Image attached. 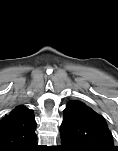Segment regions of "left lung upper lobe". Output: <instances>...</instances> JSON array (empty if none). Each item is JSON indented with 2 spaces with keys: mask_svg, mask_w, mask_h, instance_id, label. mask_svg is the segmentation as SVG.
Returning <instances> with one entry per match:
<instances>
[{
  "mask_svg": "<svg viewBox=\"0 0 118 151\" xmlns=\"http://www.w3.org/2000/svg\"><path fill=\"white\" fill-rule=\"evenodd\" d=\"M60 133L81 151H118L104 117L78 100L70 101L64 109Z\"/></svg>",
  "mask_w": 118,
  "mask_h": 151,
  "instance_id": "1",
  "label": "left lung upper lobe"
}]
</instances>
